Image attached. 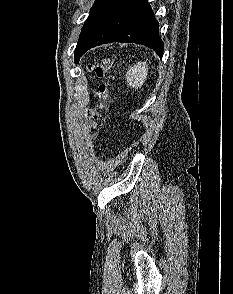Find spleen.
<instances>
[{"mask_svg": "<svg viewBox=\"0 0 233 294\" xmlns=\"http://www.w3.org/2000/svg\"><path fill=\"white\" fill-rule=\"evenodd\" d=\"M148 65L146 62H137L130 66L126 72V80L128 86L131 88H141L148 76Z\"/></svg>", "mask_w": 233, "mask_h": 294, "instance_id": "spleen-1", "label": "spleen"}]
</instances>
